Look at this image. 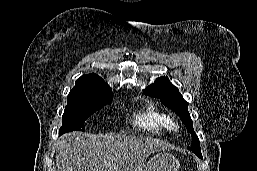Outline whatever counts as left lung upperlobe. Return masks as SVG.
<instances>
[{
	"instance_id": "5c2ea615",
	"label": "left lung upper lobe",
	"mask_w": 257,
	"mask_h": 171,
	"mask_svg": "<svg viewBox=\"0 0 257 171\" xmlns=\"http://www.w3.org/2000/svg\"><path fill=\"white\" fill-rule=\"evenodd\" d=\"M144 92L148 95L159 98L160 101L180 116L188 132L193 137V145L189 149L194 153H201L198 137L193 129V121L188 112V103L183 99L177 87L173 86L168 77L157 78Z\"/></svg>"
}]
</instances>
